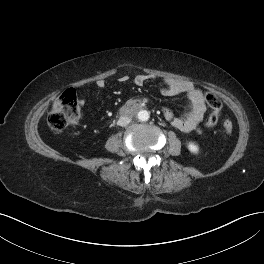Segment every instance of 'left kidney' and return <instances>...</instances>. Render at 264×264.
<instances>
[{
  "label": "left kidney",
  "mask_w": 264,
  "mask_h": 264,
  "mask_svg": "<svg viewBox=\"0 0 264 264\" xmlns=\"http://www.w3.org/2000/svg\"><path fill=\"white\" fill-rule=\"evenodd\" d=\"M187 148H188V150H189L191 153H194V154H197L198 151H199V147H198V145H196V144L193 143V142L188 143Z\"/></svg>",
  "instance_id": "1"
}]
</instances>
